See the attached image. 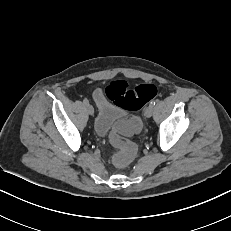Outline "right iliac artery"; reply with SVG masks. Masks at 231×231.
Listing matches in <instances>:
<instances>
[{"instance_id": "82829eb1", "label": "right iliac artery", "mask_w": 231, "mask_h": 231, "mask_svg": "<svg viewBox=\"0 0 231 231\" xmlns=\"http://www.w3.org/2000/svg\"><path fill=\"white\" fill-rule=\"evenodd\" d=\"M83 103H84L85 105H87V104H89V101H88L87 99H84V100H83Z\"/></svg>"}]
</instances>
